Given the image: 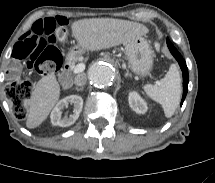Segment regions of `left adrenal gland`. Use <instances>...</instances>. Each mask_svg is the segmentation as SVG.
Masks as SVG:
<instances>
[{"mask_svg": "<svg viewBox=\"0 0 215 183\" xmlns=\"http://www.w3.org/2000/svg\"><path fill=\"white\" fill-rule=\"evenodd\" d=\"M125 77H132V75H131V73L129 72V70H128V69H126Z\"/></svg>", "mask_w": 215, "mask_h": 183, "instance_id": "left-adrenal-gland-1", "label": "left adrenal gland"}]
</instances>
